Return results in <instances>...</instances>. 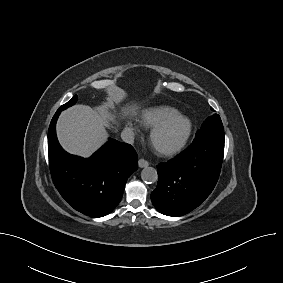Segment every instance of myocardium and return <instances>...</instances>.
<instances>
[{"mask_svg": "<svg viewBox=\"0 0 283 283\" xmlns=\"http://www.w3.org/2000/svg\"><path fill=\"white\" fill-rule=\"evenodd\" d=\"M175 120H182V121L185 122V124H186L185 132H184L183 136L181 137V139L177 143L172 145L171 147L163 148V149L156 148L157 152L161 156L169 157V156H173V155L178 154L179 152H181L183 150V148L186 146L187 142L189 141V139L191 137L192 130H193V124H192L191 119L184 114L175 113L173 115H170V116L164 118L163 120H161L159 123H157L155 126L152 127V129L150 131V135H149V140H150L151 144L154 146L153 142H154L155 136L163 128H165L169 123H171L172 121H175Z\"/></svg>", "mask_w": 283, "mask_h": 283, "instance_id": "f54148a6", "label": "myocardium"}]
</instances>
